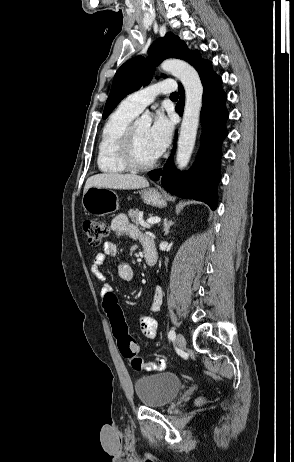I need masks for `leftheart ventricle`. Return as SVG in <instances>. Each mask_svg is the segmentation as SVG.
Returning <instances> with one entry per match:
<instances>
[{
	"instance_id": "left-heart-ventricle-1",
	"label": "left heart ventricle",
	"mask_w": 294,
	"mask_h": 462,
	"mask_svg": "<svg viewBox=\"0 0 294 462\" xmlns=\"http://www.w3.org/2000/svg\"><path fill=\"white\" fill-rule=\"evenodd\" d=\"M148 125L136 124L135 127V152L139 162L146 163L157 157L150 142Z\"/></svg>"
}]
</instances>
